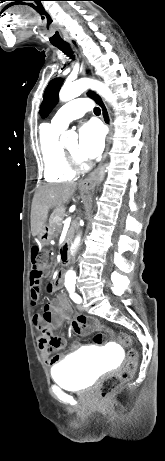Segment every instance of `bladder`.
Instances as JSON below:
<instances>
[{
    "label": "bladder",
    "instance_id": "obj_1",
    "mask_svg": "<svg viewBox=\"0 0 165 461\" xmlns=\"http://www.w3.org/2000/svg\"><path fill=\"white\" fill-rule=\"evenodd\" d=\"M97 357L95 351H80L53 366L51 376L67 390L87 389L105 371L106 362Z\"/></svg>",
    "mask_w": 165,
    "mask_h": 461
}]
</instances>
